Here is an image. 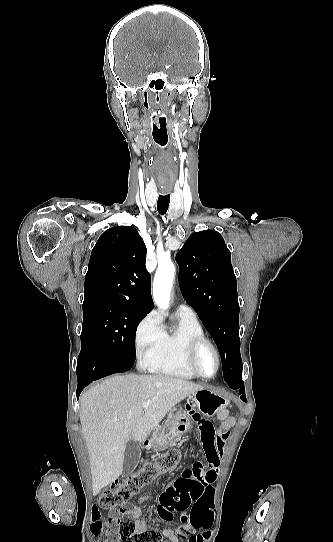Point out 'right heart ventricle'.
Returning a JSON list of instances; mask_svg holds the SVG:
<instances>
[{
    "label": "right heart ventricle",
    "instance_id": "1",
    "mask_svg": "<svg viewBox=\"0 0 333 542\" xmlns=\"http://www.w3.org/2000/svg\"><path fill=\"white\" fill-rule=\"evenodd\" d=\"M176 317L177 321L169 330L161 325L163 336L158 343L139 350V365L145 371L189 380L195 376L185 362L186 347L191 341L204 337V332L197 318L190 319L178 313Z\"/></svg>",
    "mask_w": 333,
    "mask_h": 542
}]
</instances>
